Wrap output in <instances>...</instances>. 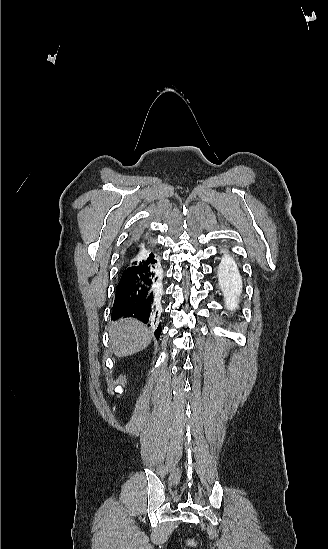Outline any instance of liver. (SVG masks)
Listing matches in <instances>:
<instances>
[{
  "label": "liver",
  "mask_w": 328,
  "mask_h": 549,
  "mask_svg": "<svg viewBox=\"0 0 328 549\" xmlns=\"http://www.w3.org/2000/svg\"><path fill=\"white\" fill-rule=\"evenodd\" d=\"M110 345L116 357H128L146 349L151 343V333L136 319H122L109 331Z\"/></svg>",
  "instance_id": "obj_1"
}]
</instances>
